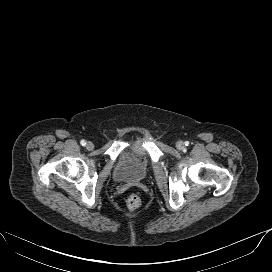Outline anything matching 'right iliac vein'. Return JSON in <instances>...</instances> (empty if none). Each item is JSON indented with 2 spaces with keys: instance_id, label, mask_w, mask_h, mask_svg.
Wrapping results in <instances>:
<instances>
[{
  "instance_id": "1",
  "label": "right iliac vein",
  "mask_w": 272,
  "mask_h": 272,
  "mask_svg": "<svg viewBox=\"0 0 272 272\" xmlns=\"http://www.w3.org/2000/svg\"><path fill=\"white\" fill-rule=\"evenodd\" d=\"M93 148H94V144L92 142H87L86 149L87 150H92Z\"/></svg>"
}]
</instances>
